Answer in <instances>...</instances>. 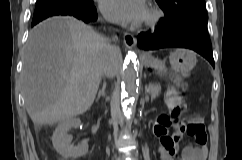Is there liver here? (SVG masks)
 Here are the masks:
<instances>
[{
    "label": "liver",
    "instance_id": "obj_1",
    "mask_svg": "<svg viewBox=\"0 0 242 160\" xmlns=\"http://www.w3.org/2000/svg\"><path fill=\"white\" fill-rule=\"evenodd\" d=\"M104 44L103 37L73 17H53L30 31L22 89L35 125L62 122L91 107L103 74L98 68L108 58ZM121 61L122 56L118 69Z\"/></svg>",
    "mask_w": 242,
    "mask_h": 160
}]
</instances>
